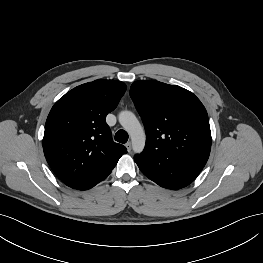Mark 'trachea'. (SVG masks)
Returning <instances> with one entry per match:
<instances>
[{"mask_svg": "<svg viewBox=\"0 0 263 263\" xmlns=\"http://www.w3.org/2000/svg\"><path fill=\"white\" fill-rule=\"evenodd\" d=\"M115 140L120 143H126L128 141V133L125 130H118L115 134Z\"/></svg>", "mask_w": 263, "mask_h": 263, "instance_id": "1", "label": "trachea"}]
</instances>
